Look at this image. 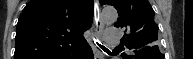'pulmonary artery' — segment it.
<instances>
[{
	"label": "pulmonary artery",
	"instance_id": "obj_1",
	"mask_svg": "<svg viewBox=\"0 0 193 59\" xmlns=\"http://www.w3.org/2000/svg\"><path fill=\"white\" fill-rule=\"evenodd\" d=\"M107 41L110 45H118L119 44V38L116 34L112 32V29H108L106 33Z\"/></svg>",
	"mask_w": 193,
	"mask_h": 59
}]
</instances>
